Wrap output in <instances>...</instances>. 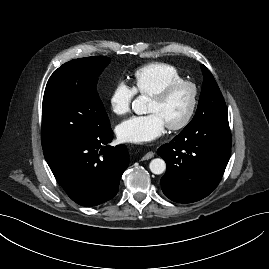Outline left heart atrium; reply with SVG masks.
<instances>
[{
  "instance_id": "left-heart-atrium-1",
  "label": "left heart atrium",
  "mask_w": 269,
  "mask_h": 269,
  "mask_svg": "<svg viewBox=\"0 0 269 269\" xmlns=\"http://www.w3.org/2000/svg\"><path fill=\"white\" fill-rule=\"evenodd\" d=\"M166 124L157 113L132 116L117 127L119 138L131 143H146L161 136Z\"/></svg>"
}]
</instances>
